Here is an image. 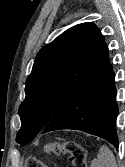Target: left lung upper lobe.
<instances>
[{"instance_id": "left-lung-upper-lobe-1", "label": "left lung upper lobe", "mask_w": 125, "mask_h": 167, "mask_svg": "<svg viewBox=\"0 0 125 167\" xmlns=\"http://www.w3.org/2000/svg\"><path fill=\"white\" fill-rule=\"evenodd\" d=\"M105 44L93 23L78 24L44 46L26 80L16 141L29 143L90 74Z\"/></svg>"}]
</instances>
